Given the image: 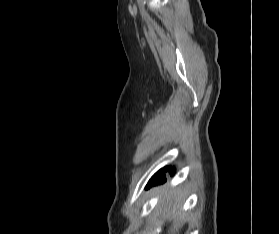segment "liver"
<instances>
[{
    "mask_svg": "<svg viewBox=\"0 0 279 234\" xmlns=\"http://www.w3.org/2000/svg\"><path fill=\"white\" fill-rule=\"evenodd\" d=\"M161 207L164 210L165 216L173 221L169 234H179V230L182 228L180 222L182 215L178 212L180 207L179 199L176 197L175 191L167 193L160 201Z\"/></svg>",
    "mask_w": 279,
    "mask_h": 234,
    "instance_id": "1",
    "label": "liver"
}]
</instances>
